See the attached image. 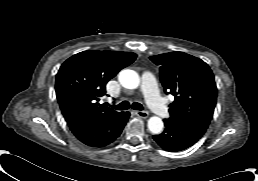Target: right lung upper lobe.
<instances>
[{
    "mask_svg": "<svg viewBox=\"0 0 258 181\" xmlns=\"http://www.w3.org/2000/svg\"><path fill=\"white\" fill-rule=\"evenodd\" d=\"M136 56L131 52L89 50L67 59L55 82L56 96L67 123L104 120L120 114L99 101L106 94V83Z\"/></svg>",
    "mask_w": 258,
    "mask_h": 181,
    "instance_id": "right-lung-upper-lobe-1",
    "label": "right lung upper lobe"
}]
</instances>
